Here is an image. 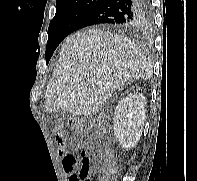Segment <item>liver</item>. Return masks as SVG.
<instances>
[{"instance_id": "6515ba94", "label": "liver", "mask_w": 197, "mask_h": 181, "mask_svg": "<svg viewBox=\"0 0 197 181\" xmlns=\"http://www.w3.org/2000/svg\"><path fill=\"white\" fill-rule=\"evenodd\" d=\"M152 68L148 54L132 39L101 29L79 31L61 46L45 107L50 112L94 115L126 82L149 79Z\"/></svg>"}]
</instances>
